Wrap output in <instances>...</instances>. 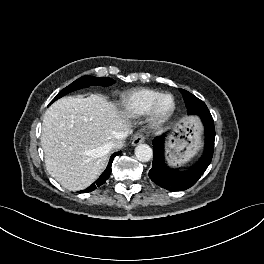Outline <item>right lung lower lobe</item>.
Returning a JSON list of instances; mask_svg holds the SVG:
<instances>
[{
	"label": "right lung lower lobe",
	"mask_w": 264,
	"mask_h": 264,
	"mask_svg": "<svg viewBox=\"0 0 264 264\" xmlns=\"http://www.w3.org/2000/svg\"><path fill=\"white\" fill-rule=\"evenodd\" d=\"M121 153V151L114 153L109 160L108 166L106 168V170L101 174V176L87 189L83 190V191H79V193H87V192H91L93 190H95L97 187H100L102 184L105 183V181L109 178L110 174H111V165L113 162V159L115 156L119 155Z\"/></svg>",
	"instance_id": "98d812e1"
}]
</instances>
